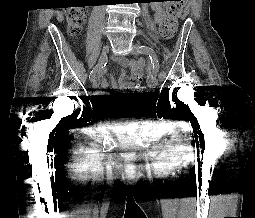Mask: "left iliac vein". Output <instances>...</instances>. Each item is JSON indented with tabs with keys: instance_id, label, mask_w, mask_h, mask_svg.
I'll return each instance as SVG.
<instances>
[{
	"instance_id": "left-iliac-vein-1",
	"label": "left iliac vein",
	"mask_w": 255,
	"mask_h": 218,
	"mask_svg": "<svg viewBox=\"0 0 255 218\" xmlns=\"http://www.w3.org/2000/svg\"><path fill=\"white\" fill-rule=\"evenodd\" d=\"M132 53L135 55L140 54L141 53L140 46L137 44L133 45ZM148 84H149V87H151V88L156 87L158 84L156 76L150 77Z\"/></svg>"
}]
</instances>
